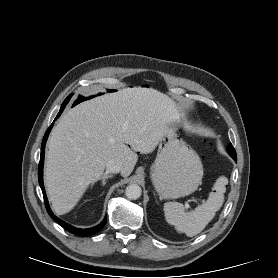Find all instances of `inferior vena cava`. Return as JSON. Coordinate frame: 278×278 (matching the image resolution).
<instances>
[{
    "mask_svg": "<svg viewBox=\"0 0 278 278\" xmlns=\"http://www.w3.org/2000/svg\"><path fill=\"white\" fill-rule=\"evenodd\" d=\"M123 166L118 161H109L106 165V173H119L121 172Z\"/></svg>",
    "mask_w": 278,
    "mask_h": 278,
    "instance_id": "inferior-vena-cava-1",
    "label": "inferior vena cava"
}]
</instances>
